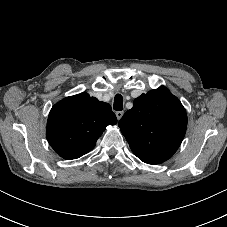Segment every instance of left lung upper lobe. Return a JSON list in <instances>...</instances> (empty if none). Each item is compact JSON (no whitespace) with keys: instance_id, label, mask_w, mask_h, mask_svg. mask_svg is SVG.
I'll return each mask as SVG.
<instances>
[{"instance_id":"left-lung-upper-lobe-1","label":"left lung upper lobe","mask_w":227,"mask_h":227,"mask_svg":"<svg viewBox=\"0 0 227 227\" xmlns=\"http://www.w3.org/2000/svg\"><path fill=\"white\" fill-rule=\"evenodd\" d=\"M118 126L133 153L154 165L168 160L180 146L187 115L179 99L161 86L136 98Z\"/></svg>"}]
</instances>
